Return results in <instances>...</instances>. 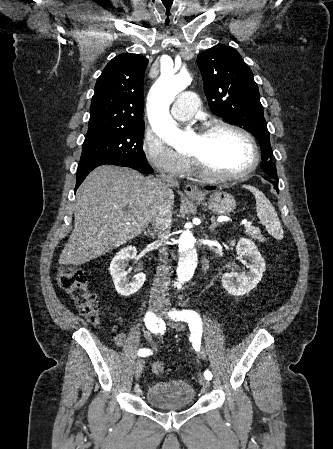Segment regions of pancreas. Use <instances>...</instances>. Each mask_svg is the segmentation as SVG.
Returning <instances> with one entry per match:
<instances>
[{
    "label": "pancreas",
    "instance_id": "1",
    "mask_svg": "<svg viewBox=\"0 0 333 449\" xmlns=\"http://www.w3.org/2000/svg\"><path fill=\"white\" fill-rule=\"evenodd\" d=\"M247 234L253 238V239H257L260 242H263V236L260 233V230H258L255 227H249L246 229Z\"/></svg>",
    "mask_w": 333,
    "mask_h": 449
}]
</instances>
